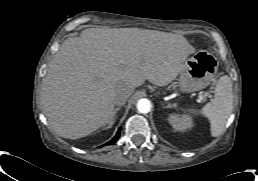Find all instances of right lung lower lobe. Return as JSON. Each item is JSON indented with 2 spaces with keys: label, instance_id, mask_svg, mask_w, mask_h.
I'll list each match as a JSON object with an SVG mask.
<instances>
[{
  "label": "right lung lower lobe",
  "instance_id": "obj_1",
  "mask_svg": "<svg viewBox=\"0 0 258 181\" xmlns=\"http://www.w3.org/2000/svg\"><path fill=\"white\" fill-rule=\"evenodd\" d=\"M119 136H120V129L118 130L116 136L111 141H109L107 144L114 143L119 138Z\"/></svg>",
  "mask_w": 258,
  "mask_h": 181
}]
</instances>
